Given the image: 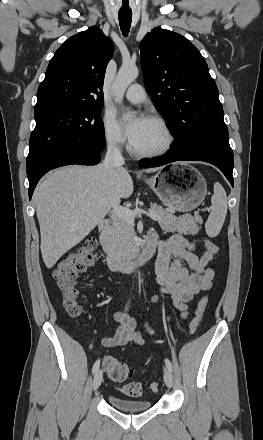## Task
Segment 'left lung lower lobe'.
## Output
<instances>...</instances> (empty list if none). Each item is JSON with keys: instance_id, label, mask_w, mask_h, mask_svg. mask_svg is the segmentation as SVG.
Here are the masks:
<instances>
[{"instance_id": "1", "label": "left lung lower lobe", "mask_w": 263, "mask_h": 440, "mask_svg": "<svg viewBox=\"0 0 263 440\" xmlns=\"http://www.w3.org/2000/svg\"><path fill=\"white\" fill-rule=\"evenodd\" d=\"M179 160H198L211 163L223 172L232 186L234 185L232 176L234 158L229 145V139L211 142L191 154H183L172 145L171 149L164 156L140 160L139 166L143 168L157 167Z\"/></svg>"}]
</instances>
